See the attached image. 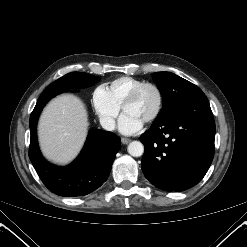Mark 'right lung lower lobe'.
I'll return each mask as SVG.
<instances>
[{
    "mask_svg": "<svg viewBox=\"0 0 247 247\" xmlns=\"http://www.w3.org/2000/svg\"><path fill=\"white\" fill-rule=\"evenodd\" d=\"M64 92V91H63ZM60 91H44L31 114L29 158L44 185L60 196H82L100 187L108 178L120 138L115 134L92 130L78 158L69 166L57 167L43 158L37 142V121L45 104Z\"/></svg>",
    "mask_w": 247,
    "mask_h": 247,
    "instance_id": "98d812e1",
    "label": "right lung lower lobe"
}]
</instances>
